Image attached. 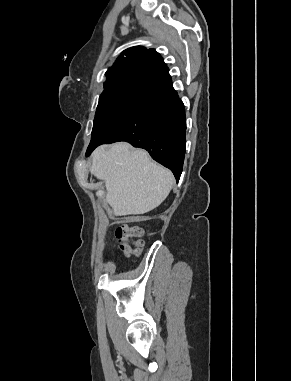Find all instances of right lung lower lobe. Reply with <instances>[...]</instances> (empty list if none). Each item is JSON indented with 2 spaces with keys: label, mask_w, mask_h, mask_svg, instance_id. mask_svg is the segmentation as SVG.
Instances as JSON below:
<instances>
[{
  "label": "right lung lower lobe",
  "mask_w": 291,
  "mask_h": 381,
  "mask_svg": "<svg viewBox=\"0 0 291 381\" xmlns=\"http://www.w3.org/2000/svg\"><path fill=\"white\" fill-rule=\"evenodd\" d=\"M185 109L172 87L167 67L142 77L120 124L115 141L89 145L86 155L100 144L126 141L146 149L151 157L169 168L178 181L185 155Z\"/></svg>",
  "instance_id": "right-lung-lower-lobe-1"
}]
</instances>
